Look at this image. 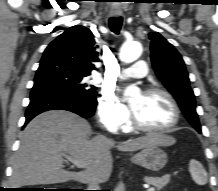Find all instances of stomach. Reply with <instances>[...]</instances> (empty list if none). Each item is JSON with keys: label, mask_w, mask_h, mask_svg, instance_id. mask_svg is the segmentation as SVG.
Here are the masks:
<instances>
[{"label": "stomach", "mask_w": 218, "mask_h": 191, "mask_svg": "<svg viewBox=\"0 0 218 191\" xmlns=\"http://www.w3.org/2000/svg\"><path fill=\"white\" fill-rule=\"evenodd\" d=\"M131 161L151 171H159L167 164L168 157L158 145H150L135 154Z\"/></svg>", "instance_id": "1"}]
</instances>
